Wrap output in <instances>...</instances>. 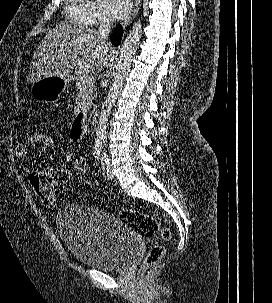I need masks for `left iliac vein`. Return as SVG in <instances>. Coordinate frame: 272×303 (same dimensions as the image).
Instances as JSON below:
<instances>
[{"instance_id": "obj_1", "label": "left iliac vein", "mask_w": 272, "mask_h": 303, "mask_svg": "<svg viewBox=\"0 0 272 303\" xmlns=\"http://www.w3.org/2000/svg\"><path fill=\"white\" fill-rule=\"evenodd\" d=\"M102 171L105 178H107L108 180L113 179L114 176L112 174L110 162L108 159L102 160Z\"/></svg>"}]
</instances>
